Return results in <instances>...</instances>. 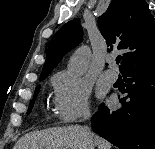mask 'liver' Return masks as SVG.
Segmentation results:
<instances>
[{
	"mask_svg": "<svg viewBox=\"0 0 155 149\" xmlns=\"http://www.w3.org/2000/svg\"><path fill=\"white\" fill-rule=\"evenodd\" d=\"M111 149L105 139L79 125L34 131L22 136L13 149Z\"/></svg>",
	"mask_w": 155,
	"mask_h": 149,
	"instance_id": "liver-1",
	"label": "liver"
}]
</instances>
